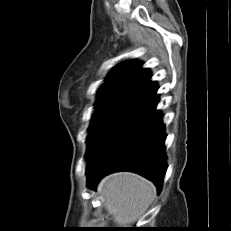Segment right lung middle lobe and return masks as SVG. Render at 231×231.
I'll list each match as a JSON object with an SVG mask.
<instances>
[{"label":"right lung middle lobe","instance_id":"obj_1","mask_svg":"<svg viewBox=\"0 0 231 231\" xmlns=\"http://www.w3.org/2000/svg\"><path fill=\"white\" fill-rule=\"evenodd\" d=\"M150 107L146 102L127 97L98 100L89 127L87 138L88 149L85 155L86 161L88 162L121 128Z\"/></svg>","mask_w":231,"mask_h":231}]
</instances>
